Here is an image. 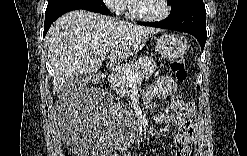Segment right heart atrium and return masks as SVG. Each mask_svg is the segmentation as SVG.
<instances>
[{
  "label": "right heart atrium",
  "instance_id": "obj_1",
  "mask_svg": "<svg viewBox=\"0 0 247 156\" xmlns=\"http://www.w3.org/2000/svg\"><path fill=\"white\" fill-rule=\"evenodd\" d=\"M106 5L115 13H122L125 10L126 2L124 0H108Z\"/></svg>",
  "mask_w": 247,
  "mask_h": 156
}]
</instances>
